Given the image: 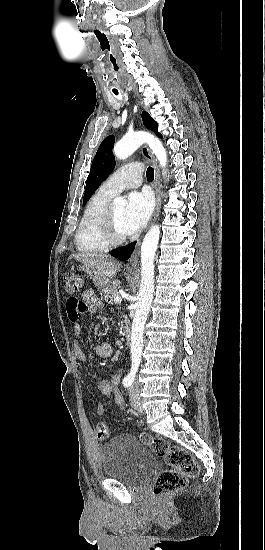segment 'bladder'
Instances as JSON below:
<instances>
[{"label": "bladder", "mask_w": 265, "mask_h": 550, "mask_svg": "<svg viewBox=\"0 0 265 550\" xmlns=\"http://www.w3.org/2000/svg\"><path fill=\"white\" fill-rule=\"evenodd\" d=\"M103 475L127 485L138 486L155 471L157 455L140 438L122 434L100 449Z\"/></svg>", "instance_id": "31cf9c89"}]
</instances>
